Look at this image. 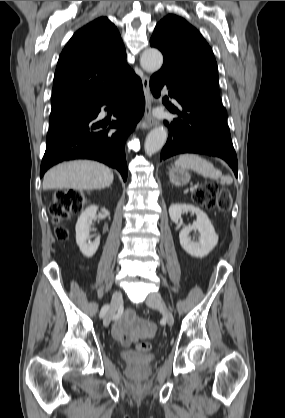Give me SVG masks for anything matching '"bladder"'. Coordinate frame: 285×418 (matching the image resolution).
<instances>
[{"label":"bladder","mask_w":285,"mask_h":418,"mask_svg":"<svg viewBox=\"0 0 285 418\" xmlns=\"http://www.w3.org/2000/svg\"><path fill=\"white\" fill-rule=\"evenodd\" d=\"M121 358L128 364H147L153 359L149 353H139L134 349H127L121 352Z\"/></svg>","instance_id":"obj_1"}]
</instances>
